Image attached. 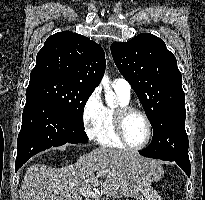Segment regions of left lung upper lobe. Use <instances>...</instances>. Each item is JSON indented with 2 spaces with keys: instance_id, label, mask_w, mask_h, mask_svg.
Returning <instances> with one entry per match:
<instances>
[{
  "instance_id": "left-lung-upper-lobe-1",
  "label": "left lung upper lobe",
  "mask_w": 205,
  "mask_h": 200,
  "mask_svg": "<svg viewBox=\"0 0 205 200\" xmlns=\"http://www.w3.org/2000/svg\"><path fill=\"white\" fill-rule=\"evenodd\" d=\"M114 62L137 94L154 126L171 106L185 103L182 76L164 41L143 33L111 45Z\"/></svg>"
}]
</instances>
